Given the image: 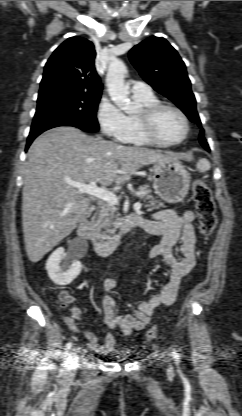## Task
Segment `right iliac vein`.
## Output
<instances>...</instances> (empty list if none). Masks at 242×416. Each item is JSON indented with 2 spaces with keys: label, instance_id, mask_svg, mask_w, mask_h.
Returning <instances> with one entry per match:
<instances>
[{
  "label": "right iliac vein",
  "instance_id": "1",
  "mask_svg": "<svg viewBox=\"0 0 242 416\" xmlns=\"http://www.w3.org/2000/svg\"><path fill=\"white\" fill-rule=\"evenodd\" d=\"M76 358H77V354L76 353H72L71 354V362L69 364L70 370H74L75 369V361H76Z\"/></svg>",
  "mask_w": 242,
  "mask_h": 416
}]
</instances>
